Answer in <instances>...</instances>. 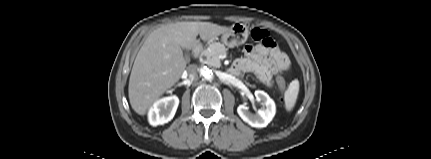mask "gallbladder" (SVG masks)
<instances>
[{
	"label": "gallbladder",
	"mask_w": 431,
	"mask_h": 159,
	"mask_svg": "<svg viewBox=\"0 0 431 159\" xmlns=\"http://www.w3.org/2000/svg\"><path fill=\"white\" fill-rule=\"evenodd\" d=\"M184 51H185V53L187 54L188 50H187V49H184Z\"/></svg>",
	"instance_id": "gallbladder-1"
}]
</instances>
